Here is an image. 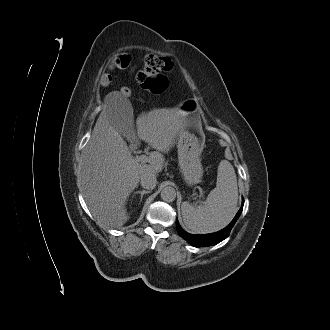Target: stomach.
<instances>
[{
    "mask_svg": "<svg viewBox=\"0 0 330 330\" xmlns=\"http://www.w3.org/2000/svg\"><path fill=\"white\" fill-rule=\"evenodd\" d=\"M198 102L194 98H188L176 107L183 115L194 114L198 110ZM178 160L180 172L188 185L197 184L203 176L201 164L202 146L194 134L188 132L180 135L177 141Z\"/></svg>",
    "mask_w": 330,
    "mask_h": 330,
    "instance_id": "stomach-1",
    "label": "stomach"
}]
</instances>
